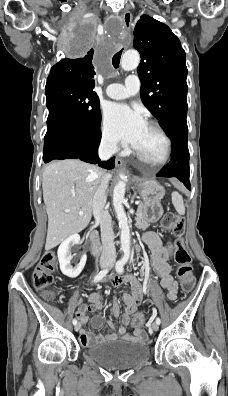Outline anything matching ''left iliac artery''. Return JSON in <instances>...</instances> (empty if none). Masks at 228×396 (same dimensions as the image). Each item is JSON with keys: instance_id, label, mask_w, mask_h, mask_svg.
<instances>
[{"instance_id": "1", "label": "left iliac artery", "mask_w": 228, "mask_h": 396, "mask_svg": "<svg viewBox=\"0 0 228 396\" xmlns=\"http://www.w3.org/2000/svg\"><path fill=\"white\" fill-rule=\"evenodd\" d=\"M128 258H129V251H125V254H124V256L122 257V259L119 260V261L116 263V267H115V268H116V271H117L118 273H123L124 265L127 263ZM156 323H157V324H160V323H161V320H160L159 317L156 318Z\"/></svg>"}]
</instances>
